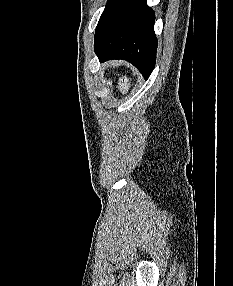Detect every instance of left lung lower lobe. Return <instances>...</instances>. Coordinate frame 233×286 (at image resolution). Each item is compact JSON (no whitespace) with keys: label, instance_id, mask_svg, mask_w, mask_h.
Masks as SVG:
<instances>
[{"label":"left lung lower lobe","instance_id":"0a47b994","mask_svg":"<svg viewBox=\"0 0 233 286\" xmlns=\"http://www.w3.org/2000/svg\"><path fill=\"white\" fill-rule=\"evenodd\" d=\"M155 15L146 0H108L95 31L100 60L124 59L148 79L156 61Z\"/></svg>","mask_w":233,"mask_h":286}]
</instances>
